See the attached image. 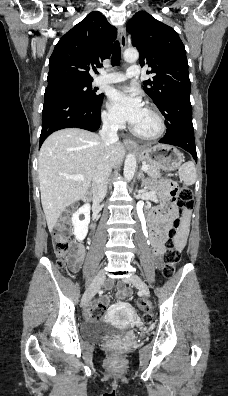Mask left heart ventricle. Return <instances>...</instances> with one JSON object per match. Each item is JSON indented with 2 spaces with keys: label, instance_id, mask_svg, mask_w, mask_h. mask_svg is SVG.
<instances>
[{
  "label": "left heart ventricle",
  "instance_id": "1",
  "mask_svg": "<svg viewBox=\"0 0 228 396\" xmlns=\"http://www.w3.org/2000/svg\"><path fill=\"white\" fill-rule=\"evenodd\" d=\"M134 127L138 132L145 135H150L157 131L158 122L154 115L144 108L139 121L136 125H134Z\"/></svg>",
  "mask_w": 228,
  "mask_h": 396
}]
</instances>
